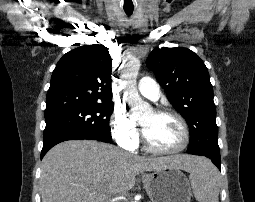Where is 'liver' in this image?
Masks as SVG:
<instances>
[{
	"instance_id": "6515ba94",
	"label": "liver",
	"mask_w": 255,
	"mask_h": 202,
	"mask_svg": "<svg viewBox=\"0 0 255 202\" xmlns=\"http://www.w3.org/2000/svg\"><path fill=\"white\" fill-rule=\"evenodd\" d=\"M202 160L191 155L148 158L93 140H71L53 147L41 164L42 202H104L123 193L144 171L178 168L191 172Z\"/></svg>"
}]
</instances>
